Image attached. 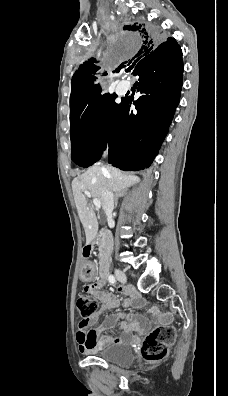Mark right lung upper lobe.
Masks as SVG:
<instances>
[{"label":"right lung upper lobe","mask_w":228,"mask_h":396,"mask_svg":"<svg viewBox=\"0 0 228 396\" xmlns=\"http://www.w3.org/2000/svg\"><path fill=\"white\" fill-rule=\"evenodd\" d=\"M140 27L132 26L129 30H139ZM142 42L139 51L135 54V56L131 59L134 63L132 64L133 73L139 66V62L145 58L150 56L154 50L156 49V37L155 35L148 34L145 28L142 29ZM173 38H169L167 42H174ZM164 42L162 44H166ZM129 62V64L131 63ZM95 58H90L87 61L83 62L78 70L73 75L72 78V86H71V95H70V118L78 115L86 108H88L95 100H97L102 95L101 88L99 85H94V81L96 77L94 74L97 71V66L95 65ZM127 61L123 62L116 71L118 72L121 68L124 67ZM105 74V73H104Z\"/></svg>","instance_id":"1"}]
</instances>
